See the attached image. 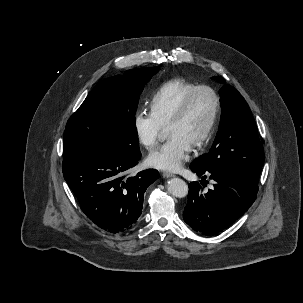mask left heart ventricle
<instances>
[{
    "label": "left heart ventricle",
    "instance_id": "b2bd125f",
    "mask_svg": "<svg viewBox=\"0 0 303 303\" xmlns=\"http://www.w3.org/2000/svg\"><path fill=\"white\" fill-rule=\"evenodd\" d=\"M214 111V98L208 91L198 92L192 99L185 116L169 125L167 132L171 134H179L185 138L191 145L206 130Z\"/></svg>",
    "mask_w": 303,
    "mask_h": 303
}]
</instances>
